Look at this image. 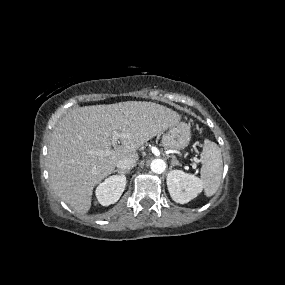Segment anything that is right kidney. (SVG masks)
I'll return each mask as SVG.
<instances>
[{"label": "right kidney", "instance_id": "obj_1", "mask_svg": "<svg viewBox=\"0 0 285 285\" xmlns=\"http://www.w3.org/2000/svg\"><path fill=\"white\" fill-rule=\"evenodd\" d=\"M126 185V177L114 175L105 179L96 188V197L102 206L116 203L122 195Z\"/></svg>", "mask_w": 285, "mask_h": 285}]
</instances>
